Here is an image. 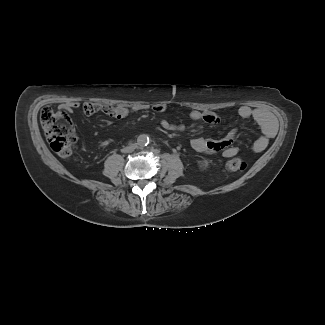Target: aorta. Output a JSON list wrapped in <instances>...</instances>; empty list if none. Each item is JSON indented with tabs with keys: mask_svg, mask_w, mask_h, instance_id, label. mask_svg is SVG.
<instances>
[{
	"mask_svg": "<svg viewBox=\"0 0 325 325\" xmlns=\"http://www.w3.org/2000/svg\"><path fill=\"white\" fill-rule=\"evenodd\" d=\"M150 142L148 135L141 134L137 138V145L141 148L146 147Z\"/></svg>",
	"mask_w": 325,
	"mask_h": 325,
	"instance_id": "1",
	"label": "aorta"
}]
</instances>
